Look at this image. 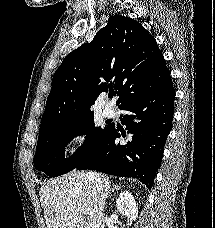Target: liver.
Returning a JSON list of instances; mask_svg holds the SVG:
<instances>
[{"instance_id": "obj_1", "label": "liver", "mask_w": 215, "mask_h": 228, "mask_svg": "<svg viewBox=\"0 0 215 228\" xmlns=\"http://www.w3.org/2000/svg\"><path fill=\"white\" fill-rule=\"evenodd\" d=\"M89 174L96 172H70L43 184L39 196L46 228H105L111 180L106 174H98L104 182V190L97 192Z\"/></svg>"}]
</instances>
